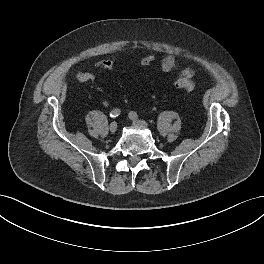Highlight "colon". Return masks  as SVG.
I'll return each mask as SVG.
<instances>
[{"instance_id": "obj_1", "label": "colon", "mask_w": 264, "mask_h": 264, "mask_svg": "<svg viewBox=\"0 0 264 264\" xmlns=\"http://www.w3.org/2000/svg\"><path fill=\"white\" fill-rule=\"evenodd\" d=\"M153 55H146L141 59V65L149 66L154 61ZM113 61L111 59L102 60L99 65L101 68L106 70H110L113 67ZM192 74L189 69H185L182 71L181 75L174 81V86L180 90L191 91L194 89V83L191 80Z\"/></svg>"}]
</instances>
